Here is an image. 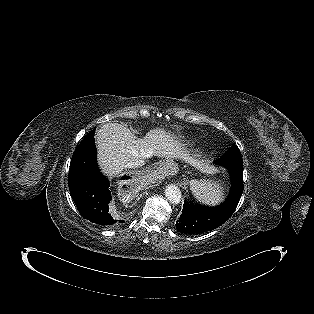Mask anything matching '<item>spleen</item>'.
<instances>
[{
	"mask_svg": "<svg viewBox=\"0 0 314 314\" xmlns=\"http://www.w3.org/2000/svg\"><path fill=\"white\" fill-rule=\"evenodd\" d=\"M190 189L194 197L203 204L216 205L224 199V188L219 181L209 179L192 180Z\"/></svg>",
	"mask_w": 314,
	"mask_h": 314,
	"instance_id": "1",
	"label": "spleen"
}]
</instances>
